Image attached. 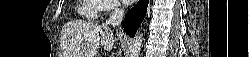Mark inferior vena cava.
Wrapping results in <instances>:
<instances>
[{"label":"inferior vena cava","instance_id":"obj_1","mask_svg":"<svg viewBox=\"0 0 249 57\" xmlns=\"http://www.w3.org/2000/svg\"><path fill=\"white\" fill-rule=\"evenodd\" d=\"M124 17V9L118 4L111 12L109 18L106 20L105 25H111L117 27L121 24Z\"/></svg>","mask_w":249,"mask_h":57}]
</instances>
